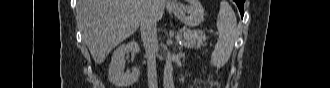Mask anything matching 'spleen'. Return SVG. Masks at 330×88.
Listing matches in <instances>:
<instances>
[{
  "mask_svg": "<svg viewBox=\"0 0 330 88\" xmlns=\"http://www.w3.org/2000/svg\"><path fill=\"white\" fill-rule=\"evenodd\" d=\"M217 29L219 40L215 45L211 60L213 65L220 68L229 60L234 43L239 37L235 13L227 1H222L220 3V10L217 17Z\"/></svg>",
  "mask_w": 330,
  "mask_h": 88,
  "instance_id": "1",
  "label": "spleen"
}]
</instances>
